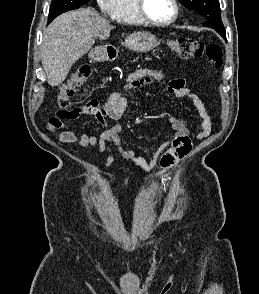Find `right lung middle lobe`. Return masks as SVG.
<instances>
[{
    "label": "right lung middle lobe",
    "mask_w": 259,
    "mask_h": 294,
    "mask_svg": "<svg viewBox=\"0 0 259 294\" xmlns=\"http://www.w3.org/2000/svg\"><path fill=\"white\" fill-rule=\"evenodd\" d=\"M88 2L89 0H52L48 22H51L58 15L69 10L78 9L81 5Z\"/></svg>",
    "instance_id": "dd1d6c3e"
}]
</instances>
